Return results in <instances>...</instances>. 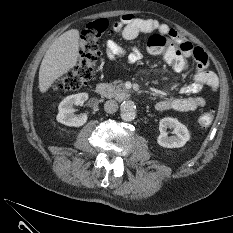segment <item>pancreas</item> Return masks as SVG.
<instances>
[{"label": "pancreas", "instance_id": "cf45deb5", "mask_svg": "<svg viewBox=\"0 0 233 233\" xmlns=\"http://www.w3.org/2000/svg\"><path fill=\"white\" fill-rule=\"evenodd\" d=\"M111 91L113 96H116L121 92H127V90L124 88V85L122 83L119 84L118 81H114L113 85L111 84Z\"/></svg>", "mask_w": 233, "mask_h": 233}]
</instances>
